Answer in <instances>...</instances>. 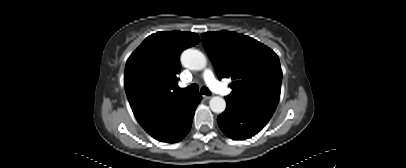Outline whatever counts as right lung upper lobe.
Wrapping results in <instances>:
<instances>
[{
	"label": "right lung upper lobe",
	"mask_w": 406,
	"mask_h": 168,
	"mask_svg": "<svg viewBox=\"0 0 406 168\" xmlns=\"http://www.w3.org/2000/svg\"><path fill=\"white\" fill-rule=\"evenodd\" d=\"M190 32H157L148 36L128 58L124 87L132 111L152 136L189 100L178 92L180 53L197 43Z\"/></svg>",
	"instance_id": "obj_1"
}]
</instances>
